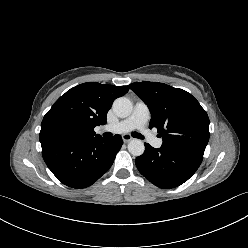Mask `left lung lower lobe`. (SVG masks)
I'll list each match as a JSON object with an SVG mask.
<instances>
[{"label": "left lung lower lobe", "instance_id": "left-lung-lower-lobe-1", "mask_svg": "<svg viewBox=\"0 0 248 248\" xmlns=\"http://www.w3.org/2000/svg\"><path fill=\"white\" fill-rule=\"evenodd\" d=\"M203 157L145 144L144 153L136 158L139 172L151 183L163 189L186 182L198 169Z\"/></svg>", "mask_w": 248, "mask_h": 248}]
</instances>
